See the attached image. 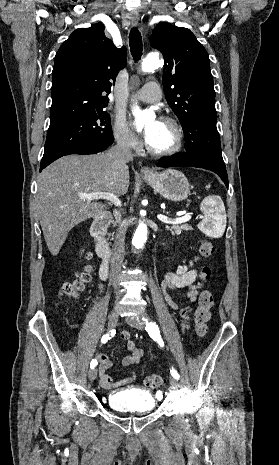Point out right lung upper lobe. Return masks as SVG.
<instances>
[{"label":"right lung upper lobe","mask_w":279,"mask_h":465,"mask_svg":"<svg viewBox=\"0 0 279 465\" xmlns=\"http://www.w3.org/2000/svg\"><path fill=\"white\" fill-rule=\"evenodd\" d=\"M125 65L126 48H116L101 23L73 31L55 57L50 124L106 107Z\"/></svg>","instance_id":"obj_1"}]
</instances>
